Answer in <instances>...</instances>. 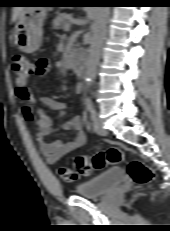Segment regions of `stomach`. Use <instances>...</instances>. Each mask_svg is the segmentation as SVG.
Wrapping results in <instances>:
<instances>
[{
	"mask_svg": "<svg viewBox=\"0 0 170 231\" xmlns=\"http://www.w3.org/2000/svg\"><path fill=\"white\" fill-rule=\"evenodd\" d=\"M45 7H27L18 17L14 28V40L20 50L33 53L39 49L43 37V22L47 16Z\"/></svg>",
	"mask_w": 170,
	"mask_h": 231,
	"instance_id": "stomach-1",
	"label": "stomach"
}]
</instances>
